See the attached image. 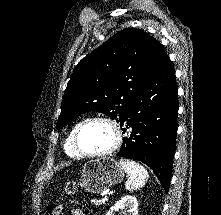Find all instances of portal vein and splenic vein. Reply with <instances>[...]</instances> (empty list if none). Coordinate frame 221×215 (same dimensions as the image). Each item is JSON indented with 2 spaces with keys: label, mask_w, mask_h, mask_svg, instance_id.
Here are the masks:
<instances>
[{
  "label": "portal vein and splenic vein",
  "mask_w": 221,
  "mask_h": 215,
  "mask_svg": "<svg viewBox=\"0 0 221 215\" xmlns=\"http://www.w3.org/2000/svg\"><path fill=\"white\" fill-rule=\"evenodd\" d=\"M108 195H110V194H108ZM104 200H108V196H105Z\"/></svg>",
  "instance_id": "portal-vein-and-splenic-vein-1"
}]
</instances>
